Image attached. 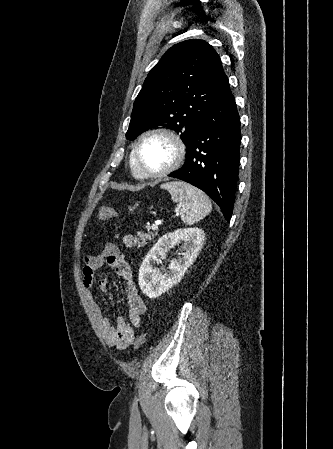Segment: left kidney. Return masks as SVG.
<instances>
[{"mask_svg": "<svg viewBox=\"0 0 333 449\" xmlns=\"http://www.w3.org/2000/svg\"><path fill=\"white\" fill-rule=\"evenodd\" d=\"M204 241V230L197 227L178 229L162 236L140 266L138 280L142 292L149 298H156L177 284L196 259ZM181 243L184 250L182 257L170 262L168 275L159 274L153 268V263L165 257L170 248Z\"/></svg>", "mask_w": 333, "mask_h": 449, "instance_id": "left-kidney-1", "label": "left kidney"}]
</instances>
